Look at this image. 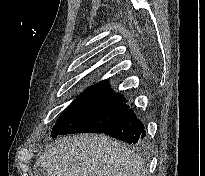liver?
Returning <instances> with one entry per match:
<instances>
[{"mask_svg":"<svg viewBox=\"0 0 205 176\" xmlns=\"http://www.w3.org/2000/svg\"><path fill=\"white\" fill-rule=\"evenodd\" d=\"M36 165L48 176H145L143 159L106 135L62 137Z\"/></svg>","mask_w":205,"mask_h":176,"instance_id":"6515ba94","label":"liver"}]
</instances>
